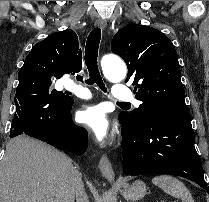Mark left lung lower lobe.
Listing matches in <instances>:
<instances>
[{
    "label": "left lung lower lobe",
    "mask_w": 209,
    "mask_h": 202,
    "mask_svg": "<svg viewBox=\"0 0 209 202\" xmlns=\"http://www.w3.org/2000/svg\"><path fill=\"white\" fill-rule=\"evenodd\" d=\"M120 123L124 174L177 175L197 183L209 194L190 116L151 112L139 125Z\"/></svg>",
    "instance_id": "1"
}]
</instances>
